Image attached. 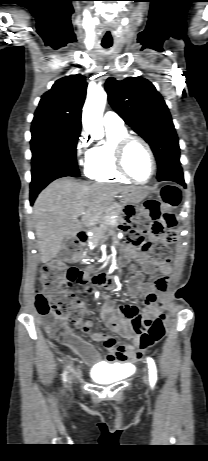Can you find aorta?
<instances>
[{
	"mask_svg": "<svg viewBox=\"0 0 208 461\" xmlns=\"http://www.w3.org/2000/svg\"><path fill=\"white\" fill-rule=\"evenodd\" d=\"M106 102L107 94L104 90L90 91L83 107V128L87 134L97 140L104 137L102 116Z\"/></svg>",
	"mask_w": 208,
	"mask_h": 461,
	"instance_id": "obj_1",
	"label": "aorta"
}]
</instances>
